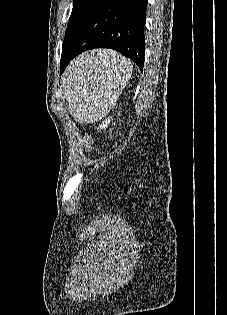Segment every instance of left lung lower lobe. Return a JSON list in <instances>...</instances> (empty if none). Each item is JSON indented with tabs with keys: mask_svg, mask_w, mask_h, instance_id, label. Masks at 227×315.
Returning <instances> with one entry per match:
<instances>
[{
	"mask_svg": "<svg viewBox=\"0 0 227 315\" xmlns=\"http://www.w3.org/2000/svg\"><path fill=\"white\" fill-rule=\"evenodd\" d=\"M147 0H98L63 45L60 73L83 51L110 48L143 71Z\"/></svg>",
	"mask_w": 227,
	"mask_h": 315,
	"instance_id": "1",
	"label": "left lung lower lobe"
}]
</instances>
